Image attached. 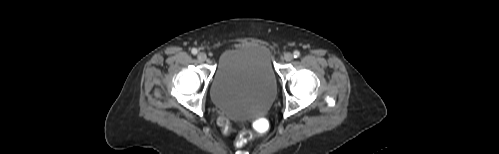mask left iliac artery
Here are the masks:
<instances>
[{
  "instance_id": "44dca946",
  "label": "left iliac artery",
  "mask_w": 499,
  "mask_h": 154,
  "mask_svg": "<svg viewBox=\"0 0 499 154\" xmlns=\"http://www.w3.org/2000/svg\"><path fill=\"white\" fill-rule=\"evenodd\" d=\"M293 56H294V58H298L300 56V52L297 50L294 51Z\"/></svg>"
}]
</instances>
